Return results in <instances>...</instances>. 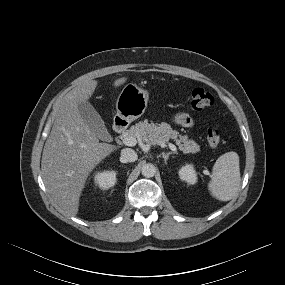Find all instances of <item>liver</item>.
<instances>
[{"label": "liver", "mask_w": 285, "mask_h": 285, "mask_svg": "<svg viewBox=\"0 0 285 285\" xmlns=\"http://www.w3.org/2000/svg\"><path fill=\"white\" fill-rule=\"evenodd\" d=\"M123 77L114 81L119 87ZM96 80H86L70 90L61 100L55 121L42 153L41 169L45 186L66 215L76 216L81 193L94 168L116 146L100 143L84 123L78 105L93 95Z\"/></svg>", "instance_id": "6515ba94"}]
</instances>
